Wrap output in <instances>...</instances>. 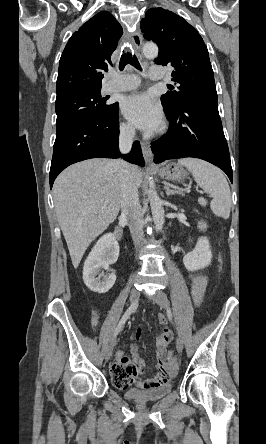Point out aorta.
Wrapping results in <instances>:
<instances>
[{"label":"aorta","mask_w":266,"mask_h":444,"mask_svg":"<svg viewBox=\"0 0 266 444\" xmlns=\"http://www.w3.org/2000/svg\"><path fill=\"white\" fill-rule=\"evenodd\" d=\"M142 50H143V55L146 58H155L158 55V47L154 43H146L143 46ZM148 199L150 201V207L155 227L158 231H161L165 221L162 200L159 198L157 192L153 189H149Z\"/></svg>","instance_id":"1"}]
</instances>
